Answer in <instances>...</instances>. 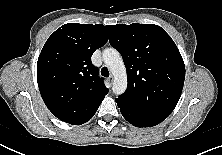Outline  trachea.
Wrapping results in <instances>:
<instances>
[{"label":"trachea","mask_w":222,"mask_h":155,"mask_svg":"<svg viewBox=\"0 0 222 155\" xmlns=\"http://www.w3.org/2000/svg\"><path fill=\"white\" fill-rule=\"evenodd\" d=\"M101 75L104 76V77H109L110 73H109V71L106 67H103L101 69Z\"/></svg>","instance_id":"obj_1"}]
</instances>
